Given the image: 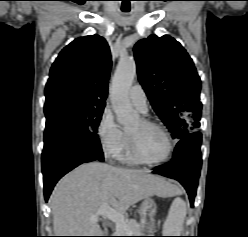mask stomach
<instances>
[{
    "mask_svg": "<svg viewBox=\"0 0 248 237\" xmlns=\"http://www.w3.org/2000/svg\"><path fill=\"white\" fill-rule=\"evenodd\" d=\"M168 195L171 194H166L164 196H168ZM156 210H157V206L154 200L151 199L150 197L145 198L140 207V216L144 222L143 224L144 229H147L149 231L152 230L153 228L152 223L154 221Z\"/></svg>",
    "mask_w": 248,
    "mask_h": 237,
    "instance_id": "1",
    "label": "stomach"
}]
</instances>
